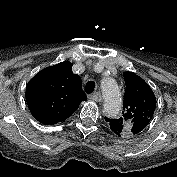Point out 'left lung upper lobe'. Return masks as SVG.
I'll return each mask as SVG.
<instances>
[{"label":"left lung upper lobe","instance_id":"1","mask_svg":"<svg viewBox=\"0 0 177 177\" xmlns=\"http://www.w3.org/2000/svg\"><path fill=\"white\" fill-rule=\"evenodd\" d=\"M126 91L124 94L123 115L118 119H106L111 130L118 136L139 135L151 121L156 97L150 86L132 72H124Z\"/></svg>","mask_w":177,"mask_h":177}]
</instances>
